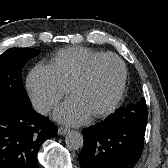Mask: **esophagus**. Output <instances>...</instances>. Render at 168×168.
Returning <instances> with one entry per match:
<instances>
[{"mask_svg": "<svg viewBox=\"0 0 168 168\" xmlns=\"http://www.w3.org/2000/svg\"><path fill=\"white\" fill-rule=\"evenodd\" d=\"M68 132H69L68 128H65V127H59L58 128V134L61 135V136L67 134Z\"/></svg>", "mask_w": 168, "mask_h": 168, "instance_id": "34e87169", "label": "esophagus"}]
</instances>
